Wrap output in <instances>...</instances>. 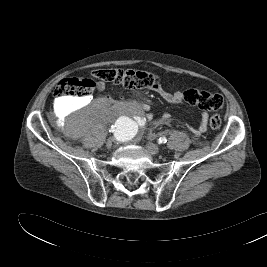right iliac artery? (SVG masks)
Segmentation results:
<instances>
[{
  "label": "right iliac artery",
  "mask_w": 267,
  "mask_h": 267,
  "mask_svg": "<svg viewBox=\"0 0 267 267\" xmlns=\"http://www.w3.org/2000/svg\"><path fill=\"white\" fill-rule=\"evenodd\" d=\"M111 132H114L115 131V129L113 128V126H112V128H111V130H110Z\"/></svg>",
  "instance_id": "obj_1"
}]
</instances>
